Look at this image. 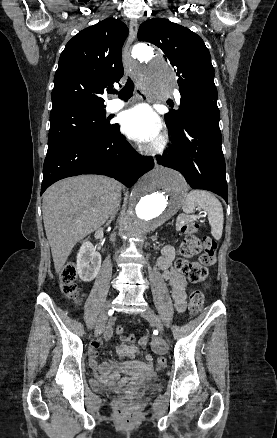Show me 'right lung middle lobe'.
<instances>
[{
	"label": "right lung middle lobe",
	"instance_id": "right-lung-middle-lobe-1",
	"mask_svg": "<svg viewBox=\"0 0 277 438\" xmlns=\"http://www.w3.org/2000/svg\"><path fill=\"white\" fill-rule=\"evenodd\" d=\"M50 123L48 149L69 140L99 136L112 128L104 108L50 114Z\"/></svg>",
	"mask_w": 277,
	"mask_h": 438
}]
</instances>
